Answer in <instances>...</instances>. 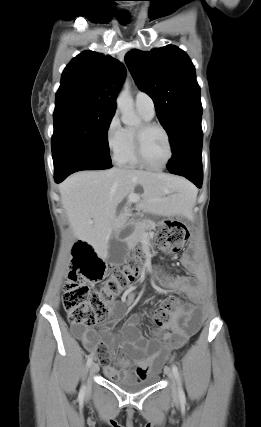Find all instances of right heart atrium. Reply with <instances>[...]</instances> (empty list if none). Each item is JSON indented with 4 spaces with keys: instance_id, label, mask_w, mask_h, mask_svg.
Returning a JSON list of instances; mask_svg holds the SVG:
<instances>
[{
    "instance_id": "obj_1",
    "label": "right heart atrium",
    "mask_w": 261,
    "mask_h": 427,
    "mask_svg": "<svg viewBox=\"0 0 261 427\" xmlns=\"http://www.w3.org/2000/svg\"><path fill=\"white\" fill-rule=\"evenodd\" d=\"M125 129L122 127L118 114L114 113L105 128V142L114 159L121 153L124 146Z\"/></svg>"
}]
</instances>
